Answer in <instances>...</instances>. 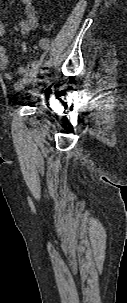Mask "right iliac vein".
<instances>
[{
	"mask_svg": "<svg viewBox=\"0 0 127 303\" xmlns=\"http://www.w3.org/2000/svg\"><path fill=\"white\" fill-rule=\"evenodd\" d=\"M48 79V75L47 73L43 74L40 81H43V80H47Z\"/></svg>",
	"mask_w": 127,
	"mask_h": 303,
	"instance_id": "1",
	"label": "right iliac vein"
}]
</instances>
